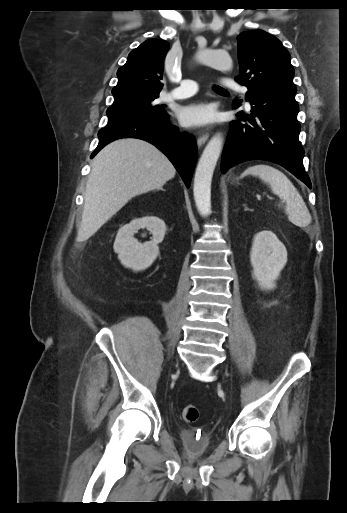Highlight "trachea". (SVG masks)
Here are the masks:
<instances>
[{
  "mask_svg": "<svg viewBox=\"0 0 347 513\" xmlns=\"http://www.w3.org/2000/svg\"><path fill=\"white\" fill-rule=\"evenodd\" d=\"M213 90L217 93H228L225 89L220 86H213Z\"/></svg>",
  "mask_w": 347,
  "mask_h": 513,
  "instance_id": "obj_1",
  "label": "trachea"
}]
</instances>
